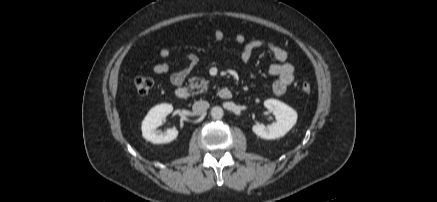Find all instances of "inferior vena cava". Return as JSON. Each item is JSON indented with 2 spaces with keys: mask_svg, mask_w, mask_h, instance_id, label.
I'll list each match as a JSON object with an SVG mask.
<instances>
[{
  "mask_svg": "<svg viewBox=\"0 0 437 202\" xmlns=\"http://www.w3.org/2000/svg\"><path fill=\"white\" fill-rule=\"evenodd\" d=\"M209 106L210 105L207 101L200 100L193 104L192 109L195 114L201 115L208 110Z\"/></svg>",
  "mask_w": 437,
  "mask_h": 202,
  "instance_id": "1",
  "label": "inferior vena cava"
}]
</instances>
